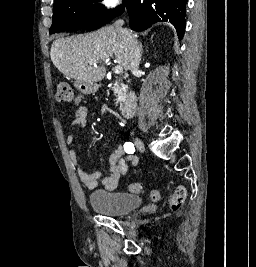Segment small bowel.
Here are the masks:
<instances>
[{
  "label": "small bowel",
  "mask_w": 256,
  "mask_h": 267,
  "mask_svg": "<svg viewBox=\"0 0 256 267\" xmlns=\"http://www.w3.org/2000/svg\"><path fill=\"white\" fill-rule=\"evenodd\" d=\"M88 119V109L85 106L78 107L72 117L70 123L71 132L67 136V143L73 145L75 143V134L77 130L85 127ZM70 160L81 182L87 189H95L101 184L105 190L112 192L118 187L120 179L126 175L128 166H136L138 157L133 154H125L122 146H118L109 156L108 172L109 175L102 177L98 169L88 172L84 170L80 164L79 158L75 150L70 151Z\"/></svg>",
  "instance_id": "1"
}]
</instances>
